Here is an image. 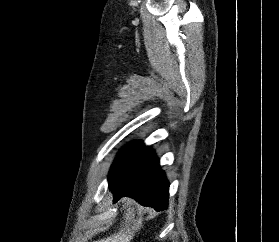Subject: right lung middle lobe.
Here are the masks:
<instances>
[{
  "instance_id": "obj_1",
  "label": "right lung middle lobe",
  "mask_w": 279,
  "mask_h": 242,
  "mask_svg": "<svg viewBox=\"0 0 279 242\" xmlns=\"http://www.w3.org/2000/svg\"><path fill=\"white\" fill-rule=\"evenodd\" d=\"M143 147V143H138L136 145L131 144L126 148L122 149L111 167L109 177L115 174L127 161H129L140 150H142Z\"/></svg>"
}]
</instances>
